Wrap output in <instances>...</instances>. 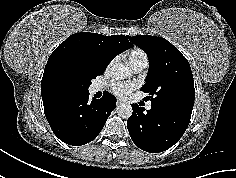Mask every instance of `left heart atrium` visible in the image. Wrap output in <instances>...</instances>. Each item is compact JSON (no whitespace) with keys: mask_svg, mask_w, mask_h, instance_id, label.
<instances>
[{"mask_svg":"<svg viewBox=\"0 0 236 178\" xmlns=\"http://www.w3.org/2000/svg\"><path fill=\"white\" fill-rule=\"evenodd\" d=\"M134 89L135 84L122 81H114L110 85L111 92L120 98H126Z\"/></svg>","mask_w":236,"mask_h":178,"instance_id":"left-heart-atrium-1","label":"left heart atrium"}]
</instances>
